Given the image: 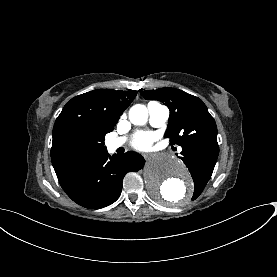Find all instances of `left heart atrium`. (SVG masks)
Listing matches in <instances>:
<instances>
[{
  "instance_id": "obj_1",
  "label": "left heart atrium",
  "mask_w": 277,
  "mask_h": 277,
  "mask_svg": "<svg viewBox=\"0 0 277 277\" xmlns=\"http://www.w3.org/2000/svg\"><path fill=\"white\" fill-rule=\"evenodd\" d=\"M153 137L148 132H139L135 135L131 145L139 151H149L152 148Z\"/></svg>"
}]
</instances>
